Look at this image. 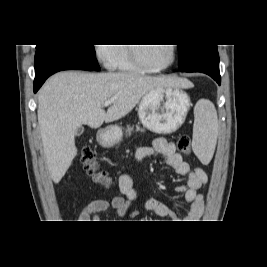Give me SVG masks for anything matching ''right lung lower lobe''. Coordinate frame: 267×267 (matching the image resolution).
I'll return each instance as SVG.
<instances>
[{"instance_id":"1","label":"right lung lower lobe","mask_w":267,"mask_h":267,"mask_svg":"<svg viewBox=\"0 0 267 267\" xmlns=\"http://www.w3.org/2000/svg\"><path fill=\"white\" fill-rule=\"evenodd\" d=\"M63 70L93 71L94 69L54 48L47 47L36 50L34 93L39 90L49 76Z\"/></svg>"}]
</instances>
